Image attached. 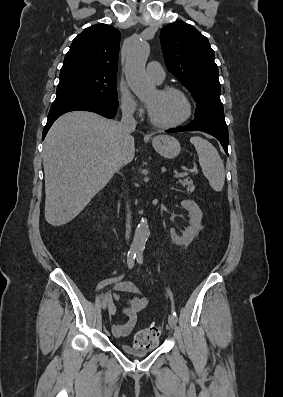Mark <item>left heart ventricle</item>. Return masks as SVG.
<instances>
[{
	"label": "left heart ventricle",
	"mask_w": 283,
	"mask_h": 397,
	"mask_svg": "<svg viewBox=\"0 0 283 397\" xmlns=\"http://www.w3.org/2000/svg\"><path fill=\"white\" fill-rule=\"evenodd\" d=\"M151 115L162 123L181 119L187 111L184 98L177 93L161 94L156 90L147 100Z\"/></svg>",
	"instance_id": "left-heart-ventricle-1"
}]
</instances>
